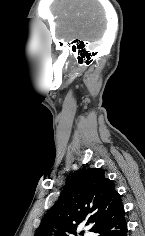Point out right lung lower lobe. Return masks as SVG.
Here are the masks:
<instances>
[{"mask_svg": "<svg viewBox=\"0 0 145 236\" xmlns=\"http://www.w3.org/2000/svg\"><path fill=\"white\" fill-rule=\"evenodd\" d=\"M94 232L98 233L99 236H126L127 223L124 208L122 207L112 218L104 222Z\"/></svg>", "mask_w": 145, "mask_h": 236, "instance_id": "obj_1", "label": "right lung lower lobe"}]
</instances>
